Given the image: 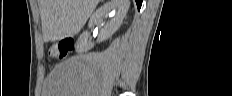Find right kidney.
<instances>
[{
    "mask_svg": "<svg viewBox=\"0 0 232 96\" xmlns=\"http://www.w3.org/2000/svg\"><path fill=\"white\" fill-rule=\"evenodd\" d=\"M129 0H109L94 12L89 20V28H92L95 23L109 14L112 17L111 21L101 29L97 42H102L110 38L121 26L124 17L129 9ZM89 32H83L76 42V51L80 54L87 52L93 48L94 43L88 40Z\"/></svg>",
    "mask_w": 232,
    "mask_h": 96,
    "instance_id": "1",
    "label": "right kidney"
}]
</instances>
